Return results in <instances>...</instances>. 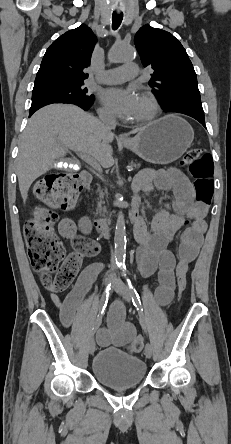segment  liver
<instances>
[{
    "label": "liver",
    "instance_id": "1",
    "mask_svg": "<svg viewBox=\"0 0 231 444\" xmlns=\"http://www.w3.org/2000/svg\"><path fill=\"white\" fill-rule=\"evenodd\" d=\"M113 139L114 134L100 120L75 105L52 104L38 110L28 121L19 142L16 167L23 200L31 184L68 150L92 156L104 168L111 167Z\"/></svg>",
    "mask_w": 231,
    "mask_h": 444
}]
</instances>
